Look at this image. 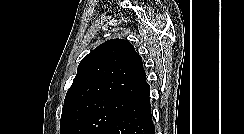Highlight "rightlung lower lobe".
<instances>
[{"mask_svg":"<svg viewBox=\"0 0 244 134\" xmlns=\"http://www.w3.org/2000/svg\"><path fill=\"white\" fill-rule=\"evenodd\" d=\"M102 134H155L149 93L132 100Z\"/></svg>","mask_w":244,"mask_h":134,"instance_id":"right-lung-lower-lobe-1","label":"right lung lower lobe"}]
</instances>
